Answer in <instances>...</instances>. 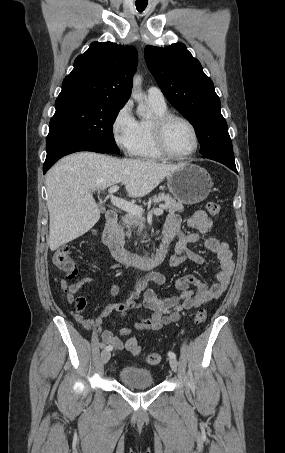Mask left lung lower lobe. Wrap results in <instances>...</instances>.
<instances>
[{"label": "left lung lower lobe", "instance_id": "obj_1", "mask_svg": "<svg viewBox=\"0 0 285 453\" xmlns=\"http://www.w3.org/2000/svg\"><path fill=\"white\" fill-rule=\"evenodd\" d=\"M201 157L218 161L237 173L234 155L223 151H214L206 155H202Z\"/></svg>", "mask_w": 285, "mask_h": 453}]
</instances>
